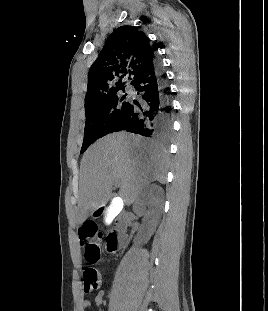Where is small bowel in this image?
I'll return each instance as SVG.
<instances>
[{"label":"small bowel","instance_id":"c3829d8e","mask_svg":"<svg viewBox=\"0 0 268 311\" xmlns=\"http://www.w3.org/2000/svg\"><path fill=\"white\" fill-rule=\"evenodd\" d=\"M102 298H103V292H102V291H99V292L96 294V300H97L98 302H100V301L102 300ZM82 306H83V308H87V307L90 306V302L87 301V300H84V301L82 302Z\"/></svg>","mask_w":268,"mask_h":311}]
</instances>
